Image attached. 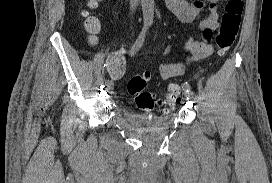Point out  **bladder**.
I'll return each mask as SVG.
<instances>
[{
  "label": "bladder",
  "instance_id": "31cf9c89",
  "mask_svg": "<svg viewBox=\"0 0 272 183\" xmlns=\"http://www.w3.org/2000/svg\"><path fill=\"white\" fill-rule=\"evenodd\" d=\"M122 117L128 128L147 133L160 132L171 123V115L158 116L126 110L123 112Z\"/></svg>",
  "mask_w": 272,
  "mask_h": 183
}]
</instances>
